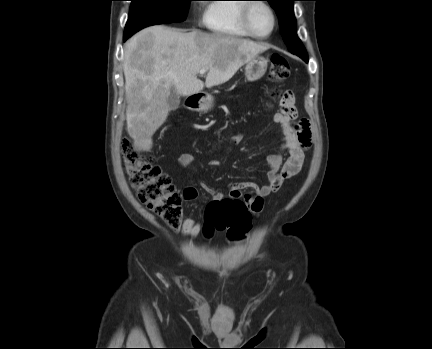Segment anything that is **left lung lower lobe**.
I'll list each match as a JSON object with an SVG mask.
<instances>
[{
  "label": "left lung lower lobe",
  "instance_id": "left-lung-lower-lobe-1",
  "mask_svg": "<svg viewBox=\"0 0 432 349\" xmlns=\"http://www.w3.org/2000/svg\"><path fill=\"white\" fill-rule=\"evenodd\" d=\"M306 63H308V57H301Z\"/></svg>",
  "mask_w": 432,
  "mask_h": 349
}]
</instances>
